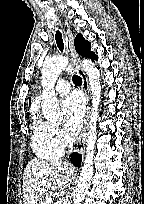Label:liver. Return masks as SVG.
I'll list each match as a JSON object with an SVG mask.
<instances>
[{"instance_id":"liver-1","label":"liver","mask_w":144,"mask_h":204,"mask_svg":"<svg viewBox=\"0 0 144 204\" xmlns=\"http://www.w3.org/2000/svg\"><path fill=\"white\" fill-rule=\"evenodd\" d=\"M72 178L73 169L67 162L29 161L24 172L23 203L37 204L48 190L69 187Z\"/></svg>"}]
</instances>
